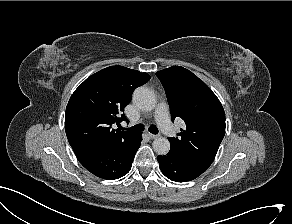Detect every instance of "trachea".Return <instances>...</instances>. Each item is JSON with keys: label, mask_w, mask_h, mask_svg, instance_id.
<instances>
[{"label": "trachea", "mask_w": 292, "mask_h": 224, "mask_svg": "<svg viewBox=\"0 0 292 224\" xmlns=\"http://www.w3.org/2000/svg\"><path fill=\"white\" fill-rule=\"evenodd\" d=\"M127 130L132 131V132H141V131H144V126L141 124H138V125L128 128ZM148 130L152 134H158V128L154 125H151L148 128Z\"/></svg>", "instance_id": "obj_1"}]
</instances>
